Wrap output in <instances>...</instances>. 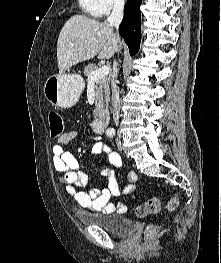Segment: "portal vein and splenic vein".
<instances>
[{"instance_id": "obj_1", "label": "portal vein and splenic vein", "mask_w": 221, "mask_h": 263, "mask_svg": "<svg viewBox=\"0 0 221 263\" xmlns=\"http://www.w3.org/2000/svg\"><path fill=\"white\" fill-rule=\"evenodd\" d=\"M110 72V68L108 66H103L96 71L91 72L88 78V82H95L96 80L105 77Z\"/></svg>"}]
</instances>
